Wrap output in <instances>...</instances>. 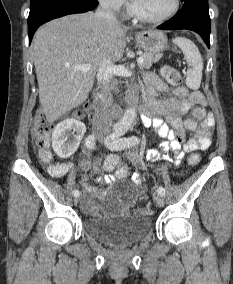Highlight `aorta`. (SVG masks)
Masks as SVG:
<instances>
[{"instance_id":"obj_1","label":"aorta","mask_w":233,"mask_h":284,"mask_svg":"<svg viewBox=\"0 0 233 284\" xmlns=\"http://www.w3.org/2000/svg\"><path fill=\"white\" fill-rule=\"evenodd\" d=\"M136 115H137V112H136V108L135 107H132L130 109H128L123 117L120 119V121L118 122V126L121 127L122 129L124 130H127L129 129L135 118H136Z\"/></svg>"}]
</instances>
